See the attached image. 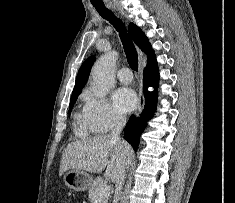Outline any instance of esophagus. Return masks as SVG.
<instances>
[{
    "label": "esophagus",
    "instance_id": "obj_1",
    "mask_svg": "<svg viewBox=\"0 0 235 203\" xmlns=\"http://www.w3.org/2000/svg\"><path fill=\"white\" fill-rule=\"evenodd\" d=\"M138 56L139 58L142 57V53L141 51L138 49ZM140 78L142 77V73L139 74ZM144 104H145V97H144V93H143V90H142V84H140V87H139V97H138V107L135 111V116L136 117H139L144 109Z\"/></svg>",
    "mask_w": 235,
    "mask_h": 203
}]
</instances>
